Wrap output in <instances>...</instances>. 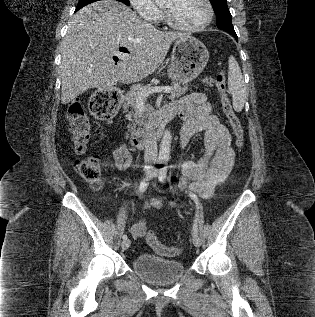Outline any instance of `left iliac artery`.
Listing matches in <instances>:
<instances>
[{
  "label": "left iliac artery",
  "instance_id": "1",
  "mask_svg": "<svg viewBox=\"0 0 315 317\" xmlns=\"http://www.w3.org/2000/svg\"><path fill=\"white\" fill-rule=\"evenodd\" d=\"M166 176H167V167H166V166H163V167H161L160 170H159V176H158L159 181H160V182H164L165 179H166ZM190 196H191L192 199L195 201L196 206H197V209H199L200 203H199L197 197H196L194 194H190ZM193 231H194L195 234H198L197 219L194 220V223H193Z\"/></svg>",
  "mask_w": 315,
  "mask_h": 317
}]
</instances>
